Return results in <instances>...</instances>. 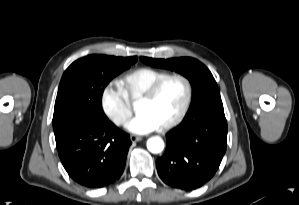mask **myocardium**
<instances>
[{"instance_id": "f54148a6", "label": "myocardium", "mask_w": 299, "mask_h": 205, "mask_svg": "<svg viewBox=\"0 0 299 205\" xmlns=\"http://www.w3.org/2000/svg\"><path fill=\"white\" fill-rule=\"evenodd\" d=\"M173 79H178L180 80L184 86H185V99L184 102L181 106V109L177 113V115L168 121L167 123L163 124L160 126V129L162 131L169 130L175 126H177L179 123L182 122V120L185 118L191 102L193 98V86L191 81L189 80L188 77H186L183 74L180 73H172L168 74L159 80H157L155 83H153L139 98H138V103L140 102H149L152 99L155 98V96L159 93V91L162 89V87L170 80Z\"/></svg>"}]
</instances>
